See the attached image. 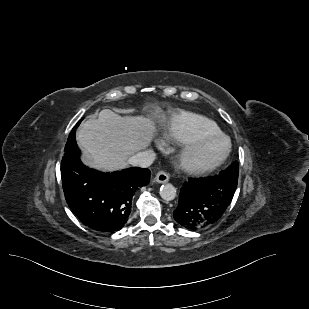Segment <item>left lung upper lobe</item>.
Segmentation results:
<instances>
[{"instance_id": "1", "label": "left lung upper lobe", "mask_w": 309, "mask_h": 309, "mask_svg": "<svg viewBox=\"0 0 309 309\" xmlns=\"http://www.w3.org/2000/svg\"><path fill=\"white\" fill-rule=\"evenodd\" d=\"M238 170H239V163L233 162L225 171H223L224 173L230 174L233 177L238 179Z\"/></svg>"}]
</instances>
